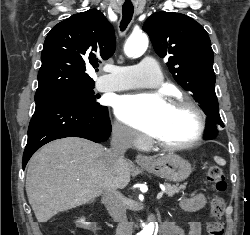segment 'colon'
Here are the masks:
<instances>
[{
  "label": "colon",
  "instance_id": "5ec220e1",
  "mask_svg": "<svg viewBox=\"0 0 250 235\" xmlns=\"http://www.w3.org/2000/svg\"><path fill=\"white\" fill-rule=\"evenodd\" d=\"M207 181L213 192L209 206L210 220L207 222V233L208 235H223L224 225L221 217L225 203L219 194L226 190L227 185L222 167L217 164L210 165L207 170Z\"/></svg>",
  "mask_w": 250,
  "mask_h": 235
}]
</instances>
